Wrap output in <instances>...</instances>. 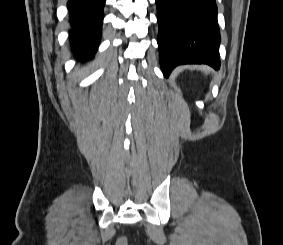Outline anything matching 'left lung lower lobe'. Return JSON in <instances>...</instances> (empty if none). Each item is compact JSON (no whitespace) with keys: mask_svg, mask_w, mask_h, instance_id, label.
<instances>
[{"mask_svg":"<svg viewBox=\"0 0 283 245\" xmlns=\"http://www.w3.org/2000/svg\"><path fill=\"white\" fill-rule=\"evenodd\" d=\"M158 47L165 77L181 64L220 67V32L215 0H155Z\"/></svg>","mask_w":283,"mask_h":245,"instance_id":"0a47b994","label":"left lung lower lobe"}]
</instances>
